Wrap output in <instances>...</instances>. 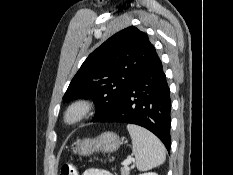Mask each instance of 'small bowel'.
I'll list each match as a JSON object with an SVG mask.
<instances>
[{
	"label": "small bowel",
	"instance_id": "small-bowel-1",
	"mask_svg": "<svg viewBox=\"0 0 233 175\" xmlns=\"http://www.w3.org/2000/svg\"><path fill=\"white\" fill-rule=\"evenodd\" d=\"M83 175H113L107 170L98 169V168H89L84 171Z\"/></svg>",
	"mask_w": 233,
	"mask_h": 175
}]
</instances>
